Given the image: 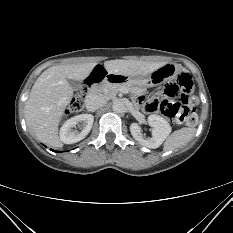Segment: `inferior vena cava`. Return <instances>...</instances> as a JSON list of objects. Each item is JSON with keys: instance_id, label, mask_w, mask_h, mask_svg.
<instances>
[{"instance_id": "1", "label": "inferior vena cava", "mask_w": 233, "mask_h": 233, "mask_svg": "<svg viewBox=\"0 0 233 233\" xmlns=\"http://www.w3.org/2000/svg\"><path fill=\"white\" fill-rule=\"evenodd\" d=\"M106 99L102 95L89 94L85 98V107L88 111H95L98 108L104 106Z\"/></svg>"}]
</instances>
